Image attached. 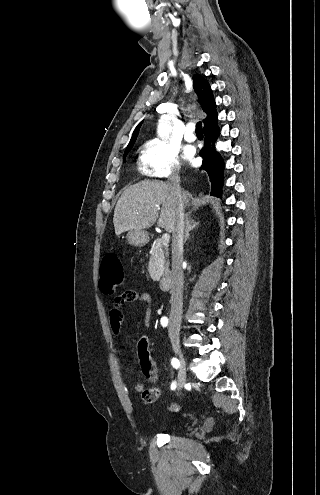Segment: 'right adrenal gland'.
Here are the masks:
<instances>
[{
  "label": "right adrenal gland",
  "instance_id": "1",
  "mask_svg": "<svg viewBox=\"0 0 320 495\" xmlns=\"http://www.w3.org/2000/svg\"><path fill=\"white\" fill-rule=\"evenodd\" d=\"M185 236H184V242L187 241V239L189 238L190 234L189 232L195 228L197 225H199V222H194L189 215H186L185 217Z\"/></svg>",
  "mask_w": 320,
  "mask_h": 495
}]
</instances>
